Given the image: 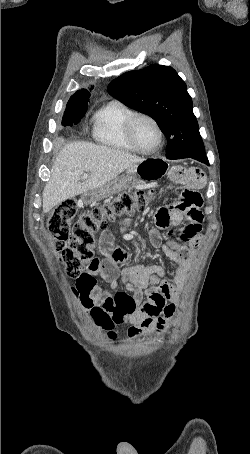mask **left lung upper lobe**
Wrapping results in <instances>:
<instances>
[{
	"label": "left lung upper lobe",
	"mask_w": 250,
	"mask_h": 454,
	"mask_svg": "<svg viewBox=\"0 0 250 454\" xmlns=\"http://www.w3.org/2000/svg\"><path fill=\"white\" fill-rule=\"evenodd\" d=\"M111 96L152 117L167 138L166 157L205 152L185 82L168 66L129 71L108 85Z\"/></svg>",
	"instance_id": "left-lung-upper-lobe-1"
}]
</instances>
